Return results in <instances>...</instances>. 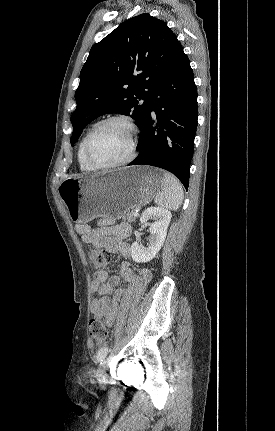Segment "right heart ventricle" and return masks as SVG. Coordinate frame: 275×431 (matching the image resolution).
<instances>
[{
  "label": "right heart ventricle",
  "instance_id": "e07e8e85",
  "mask_svg": "<svg viewBox=\"0 0 275 431\" xmlns=\"http://www.w3.org/2000/svg\"><path fill=\"white\" fill-rule=\"evenodd\" d=\"M92 127H90L86 133L84 134V136L82 137L79 147H78V153H77V158H78V163H79V167L82 171H86V172H90L92 170H94L93 168H91L85 161L84 159V155H83V144H84V140L88 134V132L90 131Z\"/></svg>",
  "mask_w": 275,
  "mask_h": 431
}]
</instances>
